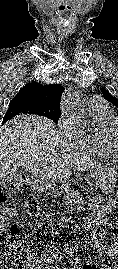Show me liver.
Returning <instances> with one entry per match:
<instances>
[{
    "instance_id": "liver-1",
    "label": "liver",
    "mask_w": 118,
    "mask_h": 269,
    "mask_svg": "<svg viewBox=\"0 0 118 269\" xmlns=\"http://www.w3.org/2000/svg\"><path fill=\"white\" fill-rule=\"evenodd\" d=\"M60 142L58 131L48 118L22 114L9 120L0 127V181L12 180L19 167L51 180H66L71 168L85 171L101 166L67 149L57 151ZM49 172L53 173L51 177Z\"/></svg>"
}]
</instances>
